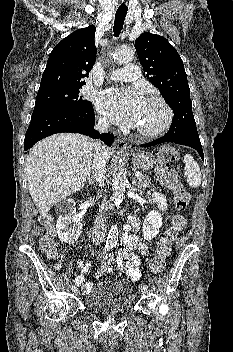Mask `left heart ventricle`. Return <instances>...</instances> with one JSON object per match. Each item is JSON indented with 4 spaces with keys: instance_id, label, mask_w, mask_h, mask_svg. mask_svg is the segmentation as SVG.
<instances>
[{
    "instance_id": "b2bd125f",
    "label": "left heart ventricle",
    "mask_w": 233,
    "mask_h": 352,
    "mask_svg": "<svg viewBox=\"0 0 233 352\" xmlns=\"http://www.w3.org/2000/svg\"><path fill=\"white\" fill-rule=\"evenodd\" d=\"M165 118V112L160 104L155 101L143 100L136 128L150 130L158 127Z\"/></svg>"
}]
</instances>
